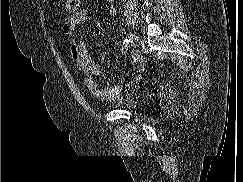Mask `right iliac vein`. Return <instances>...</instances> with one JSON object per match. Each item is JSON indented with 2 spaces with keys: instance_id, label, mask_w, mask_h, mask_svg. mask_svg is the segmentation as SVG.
<instances>
[{
  "instance_id": "right-iliac-vein-1",
  "label": "right iliac vein",
  "mask_w": 243,
  "mask_h": 182,
  "mask_svg": "<svg viewBox=\"0 0 243 182\" xmlns=\"http://www.w3.org/2000/svg\"><path fill=\"white\" fill-rule=\"evenodd\" d=\"M129 38L132 40V41H137L138 40V37L132 33H129L128 34Z\"/></svg>"
}]
</instances>
